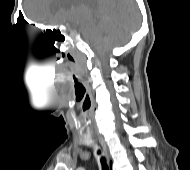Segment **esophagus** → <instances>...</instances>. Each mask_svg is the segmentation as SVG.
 Masks as SVG:
<instances>
[{
  "label": "esophagus",
  "instance_id": "34e87169",
  "mask_svg": "<svg viewBox=\"0 0 190 170\" xmlns=\"http://www.w3.org/2000/svg\"><path fill=\"white\" fill-rule=\"evenodd\" d=\"M100 142H101L103 148L106 149V146H105L104 142L101 139H100Z\"/></svg>",
  "mask_w": 190,
  "mask_h": 170
}]
</instances>
